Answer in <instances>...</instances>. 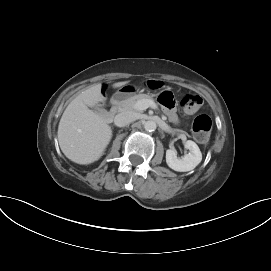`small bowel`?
Instances as JSON below:
<instances>
[{"instance_id": "obj_1", "label": "small bowel", "mask_w": 271, "mask_h": 271, "mask_svg": "<svg viewBox=\"0 0 271 271\" xmlns=\"http://www.w3.org/2000/svg\"><path fill=\"white\" fill-rule=\"evenodd\" d=\"M166 112L169 116V118L173 121V122H176L177 121V116H176V113L173 109V106L171 107H166Z\"/></svg>"}]
</instances>
